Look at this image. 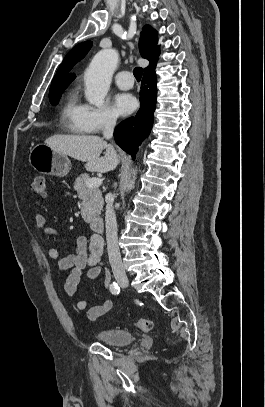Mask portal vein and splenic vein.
<instances>
[{"label": "portal vein and splenic vein", "instance_id": "18ae733b", "mask_svg": "<svg viewBox=\"0 0 265 407\" xmlns=\"http://www.w3.org/2000/svg\"><path fill=\"white\" fill-rule=\"evenodd\" d=\"M102 184V180L99 178H91L86 181V185L90 188L99 187Z\"/></svg>", "mask_w": 265, "mask_h": 407}]
</instances>
